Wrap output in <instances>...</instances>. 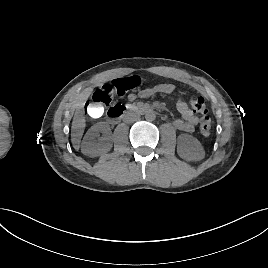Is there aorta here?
<instances>
[{"label":"aorta","mask_w":268,"mask_h":268,"mask_svg":"<svg viewBox=\"0 0 268 268\" xmlns=\"http://www.w3.org/2000/svg\"><path fill=\"white\" fill-rule=\"evenodd\" d=\"M155 118H156V115H155V113L153 111L146 112L145 119L147 121H154Z\"/></svg>","instance_id":"aorta-1"}]
</instances>
